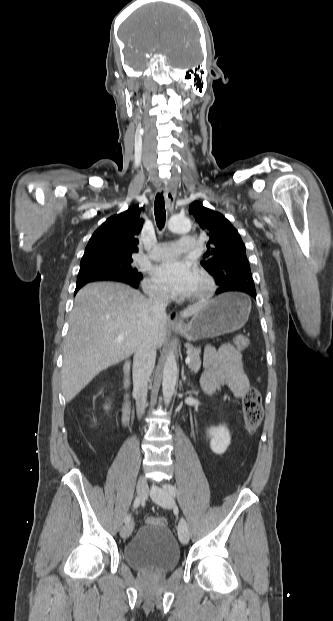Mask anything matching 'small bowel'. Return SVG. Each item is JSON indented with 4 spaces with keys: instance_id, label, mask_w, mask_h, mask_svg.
<instances>
[{
    "instance_id": "obj_1",
    "label": "small bowel",
    "mask_w": 333,
    "mask_h": 621,
    "mask_svg": "<svg viewBox=\"0 0 333 621\" xmlns=\"http://www.w3.org/2000/svg\"><path fill=\"white\" fill-rule=\"evenodd\" d=\"M204 368L200 384L206 394L226 384L237 398H242L249 387L240 353L231 345L219 349L208 348L204 355ZM103 408L110 409L107 400Z\"/></svg>"
}]
</instances>
